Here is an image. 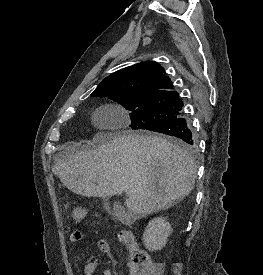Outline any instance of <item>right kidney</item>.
Returning <instances> with one entry per match:
<instances>
[{
  "label": "right kidney",
  "mask_w": 263,
  "mask_h": 275,
  "mask_svg": "<svg viewBox=\"0 0 263 275\" xmlns=\"http://www.w3.org/2000/svg\"><path fill=\"white\" fill-rule=\"evenodd\" d=\"M172 228L164 217L151 220L143 233V243L149 251L161 250L171 234Z\"/></svg>",
  "instance_id": "right-kidney-1"
}]
</instances>
